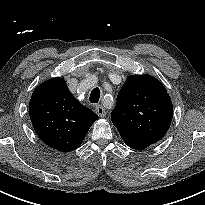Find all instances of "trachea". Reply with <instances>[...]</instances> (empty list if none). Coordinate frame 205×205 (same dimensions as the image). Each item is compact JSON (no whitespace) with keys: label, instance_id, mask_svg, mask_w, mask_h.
Returning <instances> with one entry per match:
<instances>
[{"label":"trachea","instance_id":"3493384b","mask_svg":"<svg viewBox=\"0 0 205 205\" xmlns=\"http://www.w3.org/2000/svg\"><path fill=\"white\" fill-rule=\"evenodd\" d=\"M99 99H100V89L97 87L94 88L90 94V102L98 103Z\"/></svg>","mask_w":205,"mask_h":205}]
</instances>
